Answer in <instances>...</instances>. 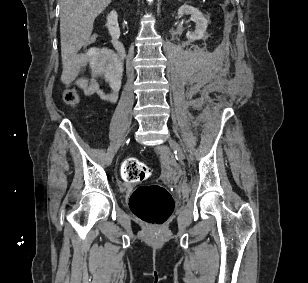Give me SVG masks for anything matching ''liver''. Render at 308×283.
Masks as SVG:
<instances>
[{
    "mask_svg": "<svg viewBox=\"0 0 308 283\" xmlns=\"http://www.w3.org/2000/svg\"><path fill=\"white\" fill-rule=\"evenodd\" d=\"M112 0H60L62 62L66 64L90 40L95 18Z\"/></svg>",
    "mask_w": 308,
    "mask_h": 283,
    "instance_id": "6515ba94",
    "label": "liver"
}]
</instances>
